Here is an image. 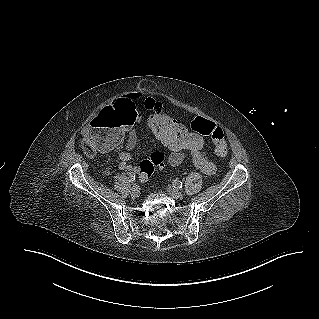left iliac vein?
Segmentation results:
<instances>
[{"mask_svg":"<svg viewBox=\"0 0 319 319\" xmlns=\"http://www.w3.org/2000/svg\"><path fill=\"white\" fill-rule=\"evenodd\" d=\"M167 192L175 199L182 198V193L172 186L167 187Z\"/></svg>","mask_w":319,"mask_h":319,"instance_id":"4c4485c4","label":"left iliac vein"}]
</instances>
